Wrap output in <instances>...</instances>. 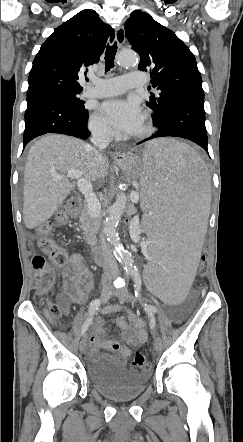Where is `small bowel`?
Instances as JSON below:
<instances>
[{
	"instance_id": "obj_1",
	"label": "small bowel",
	"mask_w": 243,
	"mask_h": 442,
	"mask_svg": "<svg viewBox=\"0 0 243 442\" xmlns=\"http://www.w3.org/2000/svg\"><path fill=\"white\" fill-rule=\"evenodd\" d=\"M63 290L59 294V304L64 312L67 311L70 302L82 304L86 301L88 292L92 288V275L83 258L79 253H73L68 266L63 270ZM118 307H111L115 309ZM117 326L123 330L126 344L115 340H105L104 320L98 319L96 322L95 335L89 340L90 345L97 351L105 349L119 355L121 363L125 364L126 358L130 354L129 346H140L148 338L145 330V322L137 317L133 312H129L127 317L120 316L116 319Z\"/></svg>"
}]
</instances>
